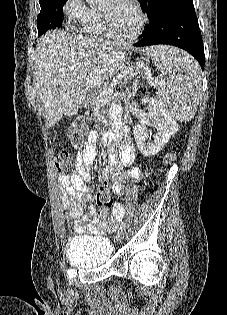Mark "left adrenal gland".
<instances>
[{"label": "left adrenal gland", "mask_w": 227, "mask_h": 315, "mask_svg": "<svg viewBox=\"0 0 227 315\" xmlns=\"http://www.w3.org/2000/svg\"><path fill=\"white\" fill-rule=\"evenodd\" d=\"M136 82H137V81H135V86H134L135 90H136V87H137ZM132 93H134V89H133V92H132Z\"/></svg>", "instance_id": "obj_1"}]
</instances>
